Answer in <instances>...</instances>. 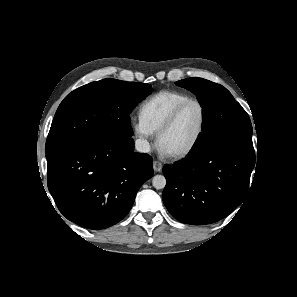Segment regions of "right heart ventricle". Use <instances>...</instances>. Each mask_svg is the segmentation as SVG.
<instances>
[{"label":"right heart ventricle","mask_w":297,"mask_h":297,"mask_svg":"<svg viewBox=\"0 0 297 297\" xmlns=\"http://www.w3.org/2000/svg\"><path fill=\"white\" fill-rule=\"evenodd\" d=\"M188 98L189 95L180 91H160L141 104L140 118L156 133L174 108Z\"/></svg>","instance_id":"right-heart-ventricle-1"}]
</instances>
